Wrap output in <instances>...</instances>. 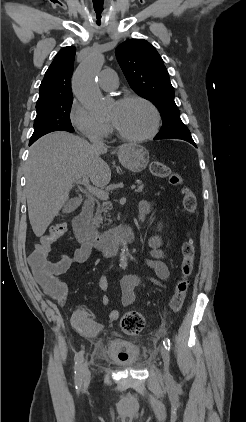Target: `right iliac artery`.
Instances as JSON below:
<instances>
[{"instance_id": "82829eb1", "label": "right iliac artery", "mask_w": 246, "mask_h": 422, "mask_svg": "<svg viewBox=\"0 0 246 422\" xmlns=\"http://www.w3.org/2000/svg\"><path fill=\"white\" fill-rule=\"evenodd\" d=\"M82 362H83V352H79L76 362H75V385L79 389L82 385Z\"/></svg>"}]
</instances>
